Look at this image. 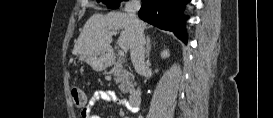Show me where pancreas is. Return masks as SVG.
<instances>
[{"mask_svg": "<svg viewBox=\"0 0 273 118\" xmlns=\"http://www.w3.org/2000/svg\"><path fill=\"white\" fill-rule=\"evenodd\" d=\"M111 73L115 76L114 80L122 93L131 92L133 89V78L131 74L123 67L121 60L114 62Z\"/></svg>", "mask_w": 273, "mask_h": 118, "instance_id": "obj_1", "label": "pancreas"}]
</instances>
